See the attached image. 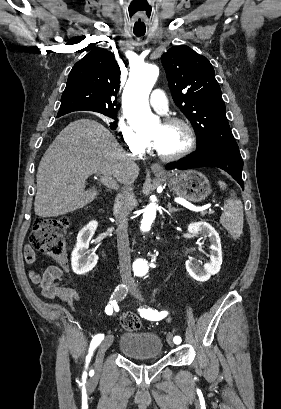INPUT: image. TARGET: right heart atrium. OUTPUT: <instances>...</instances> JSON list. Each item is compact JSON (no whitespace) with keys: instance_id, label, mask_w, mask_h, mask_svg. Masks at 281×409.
I'll return each mask as SVG.
<instances>
[{"instance_id":"d8ad5b80","label":"right heart atrium","mask_w":281,"mask_h":409,"mask_svg":"<svg viewBox=\"0 0 281 409\" xmlns=\"http://www.w3.org/2000/svg\"><path fill=\"white\" fill-rule=\"evenodd\" d=\"M143 115H122L117 123V130L121 134L123 143L132 151H142L145 146V139L139 136L142 126Z\"/></svg>"}]
</instances>
